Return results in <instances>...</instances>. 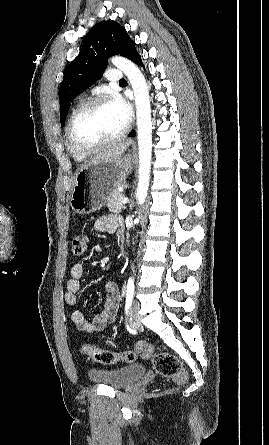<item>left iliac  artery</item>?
<instances>
[{
  "mask_svg": "<svg viewBox=\"0 0 269 445\" xmlns=\"http://www.w3.org/2000/svg\"><path fill=\"white\" fill-rule=\"evenodd\" d=\"M133 295H134V280L132 278H129L127 283V293H126V303H125L126 313L131 306Z\"/></svg>",
  "mask_w": 269,
  "mask_h": 445,
  "instance_id": "1",
  "label": "left iliac artery"
}]
</instances>
